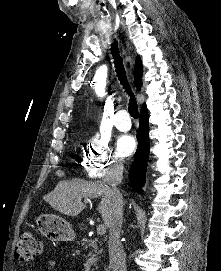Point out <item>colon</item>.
Listing matches in <instances>:
<instances>
[{"mask_svg": "<svg viewBox=\"0 0 221 271\" xmlns=\"http://www.w3.org/2000/svg\"><path fill=\"white\" fill-rule=\"evenodd\" d=\"M42 243L35 238L33 233L25 231L20 235L15 246V261L20 264L34 262L41 255Z\"/></svg>", "mask_w": 221, "mask_h": 271, "instance_id": "5ec220e1", "label": "colon"}]
</instances>
